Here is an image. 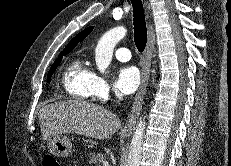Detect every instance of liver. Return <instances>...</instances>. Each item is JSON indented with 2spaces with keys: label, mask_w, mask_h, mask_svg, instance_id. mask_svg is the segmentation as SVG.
Wrapping results in <instances>:
<instances>
[{
  "label": "liver",
  "mask_w": 231,
  "mask_h": 166,
  "mask_svg": "<svg viewBox=\"0 0 231 166\" xmlns=\"http://www.w3.org/2000/svg\"><path fill=\"white\" fill-rule=\"evenodd\" d=\"M44 140L64 133H76L94 139H107L121 127L120 119L111 111L78 100L45 105L38 114Z\"/></svg>",
  "instance_id": "obj_1"
}]
</instances>
